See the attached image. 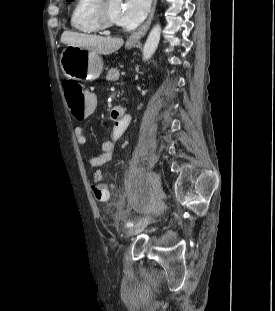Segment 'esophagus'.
<instances>
[{"mask_svg":"<svg viewBox=\"0 0 275 311\" xmlns=\"http://www.w3.org/2000/svg\"><path fill=\"white\" fill-rule=\"evenodd\" d=\"M156 4H157V0H153L151 11H150V14L147 20L136 32H134L132 35L129 36V38L127 39L128 44H134V43L139 42V40L147 33L149 26L151 24V21L153 19L154 13H155Z\"/></svg>","mask_w":275,"mask_h":311,"instance_id":"obj_1","label":"esophagus"}]
</instances>
